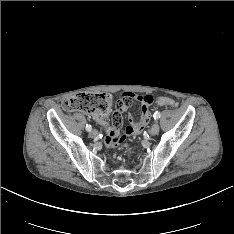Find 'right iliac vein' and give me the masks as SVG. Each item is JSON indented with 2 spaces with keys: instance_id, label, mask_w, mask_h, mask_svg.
I'll use <instances>...</instances> for the list:
<instances>
[{
  "instance_id": "63e3f726",
  "label": "right iliac vein",
  "mask_w": 234,
  "mask_h": 234,
  "mask_svg": "<svg viewBox=\"0 0 234 234\" xmlns=\"http://www.w3.org/2000/svg\"><path fill=\"white\" fill-rule=\"evenodd\" d=\"M89 135H90V137L95 138V137H97L98 132L96 130H91Z\"/></svg>"
}]
</instances>
